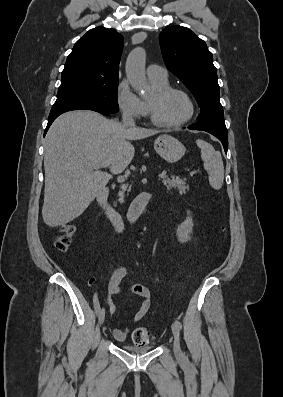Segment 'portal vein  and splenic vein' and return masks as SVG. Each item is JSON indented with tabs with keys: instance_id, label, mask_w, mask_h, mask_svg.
Here are the masks:
<instances>
[{
	"instance_id": "portal-vein-and-splenic-vein-1",
	"label": "portal vein and splenic vein",
	"mask_w": 283,
	"mask_h": 397,
	"mask_svg": "<svg viewBox=\"0 0 283 397\" xmlns=\"http://www.w3.org/2000/svg\"><path fill=\"white\" fill-rule=\"evenodd\" d=\"M159 178H166L167 177V174H166V172L165 171H163L162 173H160L159 175Z\"/></svg>"
}]
</instances>
